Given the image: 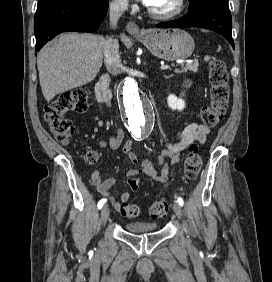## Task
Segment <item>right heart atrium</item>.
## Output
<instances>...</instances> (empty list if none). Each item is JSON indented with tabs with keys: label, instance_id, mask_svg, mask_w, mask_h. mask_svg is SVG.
<instances>
[{
	"label": "right heart atrium",
	"instance_id": "1",
	"mask_svg": "<svg viewBox=\"0 0 272 282\" xmlns=\"http://www.w3.org/2000/svg\"><path fill=\"white\" fill-rule=\"evenodd\" d=\"M126 0H113L110 4L111 10L116 13L124 12L128 8Z\"/></svg>",
	"mask_w": 272,
	"mask_h": 282
}]
</instances>
